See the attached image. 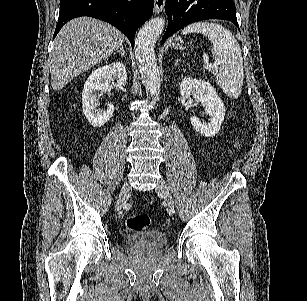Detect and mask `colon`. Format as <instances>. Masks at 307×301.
Listing matches in <instances>:
<instances>
[{
    "instance_id": "obj_1",
    "label": "colon",
    "mask_w": 307,
    "mask_h": 301,
    "mask_svg": "<svg viewBox=\"0 0 307 301\" xmlns=\"http://www.w3.org/2000/svg\"><path fill=\"white\" fill-rule=\"evenodd\" d=\"M150 224V218L146 214H134L126 218L125 225L130 231H143Z\"/></svg>"
}]
</instances>
